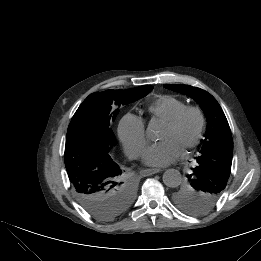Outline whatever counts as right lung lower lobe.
<instances>
[{"label": "right lung lower lobe", "instance_id": "right-lung-lower-lobe-1", "mask_svg": "<svg viewBox=\"0 0 261 261\" xmlns=\"http://www.w3.org/2000/svg\"><path fill=\"white\" fill-rule=\"evenodd\" d=\"M110 144L96 133L74 129L67 132L64 161L75 191L105 183L123 171L112 160Z\"/></svg>", "mask_w": 261, "mask_h": 261}]
</instances>
